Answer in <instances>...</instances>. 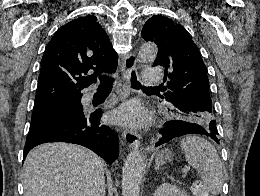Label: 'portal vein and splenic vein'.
Instances as JSON below:
<instances>
[{"mask_svg":"<svg viewBox=\"0 0 260 196\" xmlns=\"http://www.w3.org/2000/svg\"><path fill=\"white\" fill-rule=\"evenodd\" d=\"M190 168L189 166H184V168H182V174L183 176H186L187 172H189Z\"/></svg>","mask_w":260,"mask_h":196,"instance_id":"obj_1","label":"portal vein and splenic vein"}]
</instances>
